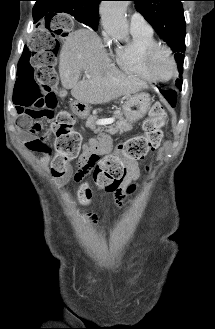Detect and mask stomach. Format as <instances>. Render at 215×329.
I'll list each match as a JSON object with an SVG mask.
<instances>
[{"instance_id": "stomach-1", "label": "stomach", "mask_w": 215, "mask_h": 329, "mask_svg": "<svg viewBox=\"0 0 215 329\" xmlns=\"http://www.w3.org/2000/svg\"><path fill=\"white\" fill-rule=\"evenodd\" d=\"M151 106V99L147 93H138L133 96H129L123 105V113L126 117V121L134 123L142 119ZM71 110L74 114L80 117H86L89 115L90 108L87 104L79 101L71 103Z\"/></svg>"}]
</instances>
